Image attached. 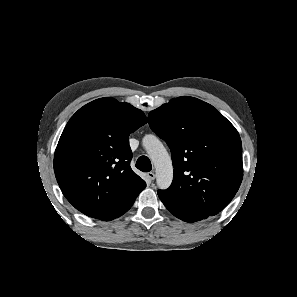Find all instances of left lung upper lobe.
Here are the masks:
<instances>
[{
  "label": "left lung upper lobe",
  "instance_id": "5c2ea615",
  "mask_svg": "<svg viewBox=\"0 0 297 297\" xmlns=\"http://www.w3.org/2000/svg\"><path fill=\"white\" fill-rule=\"evenodd\" d=\"M148 123L172 153L173 182L158 193L193 218L218 214L243 178L242 143L235 127L212 105L189 96L151 111Z\"/></svg>",
  "mask_w": 297,
  "mask_h": 297
}]
</instances>
